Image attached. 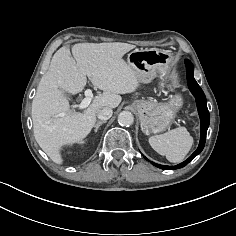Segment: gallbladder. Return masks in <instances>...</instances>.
Masks as SVG:
<instances>
[{
	"mask_svg": "<svg viewBox=\"0 0 236 236\" xmlns=\"http://www.w3.org/2000/svg\"><path fill=\"white\" fill-rule=\"evenodd\" d=\"M66 96H67V98H68V99H70V98H71V96H70L69 94H67Z\"/></svg>",
	"mask_w": 236,
	"mask_h": 236,
	"instance_id": "1",
	"label": "gallbladder"
}]
</instances>
